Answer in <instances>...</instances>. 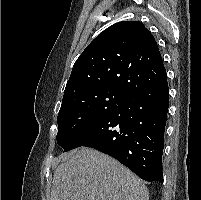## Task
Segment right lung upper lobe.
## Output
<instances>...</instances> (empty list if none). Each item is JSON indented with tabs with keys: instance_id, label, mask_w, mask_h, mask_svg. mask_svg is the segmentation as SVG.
<instances>
[{
	"instance_id": "1",
	"label": "right lung upper lobe",
	"mask_w": 201,
	"mask_h": 200,
	"mask_svg": "<svg viewBox=\"0 0 201 200\" xmlns=\"http://www.w3.org/2000/svg\"><path fill=\"white\" fill-rule=\"evenodd\" d=\"M166 76L157 43L138 21L118 22L100 33L76 60L63 101L98 90L129 96Z\"/></svg>"
}]
</instances>
